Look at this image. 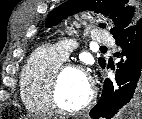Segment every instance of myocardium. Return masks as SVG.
<instances>
[{"instance_id":"f54148a6","label":"myocardium","mask_w":142,"mask_h":119,"mask_svg":"<svg viewBox=\"0 0 142 119\" xmlns=\"http://www.w3.org/2000/svg\"><path fill=\"white\" fill-rule=\"evenodd\" d=\"M68 70H76V71L85 73L84 69L78 65H75L73 63H62L58 67V69L55 71V73L53 74L50 80L49 87H48V100H49L51 109L54 112L58 114H62V115H77L84 112L89 107H91L96 97V91L93 85L90 84L89 96L83 104L73 109L64 108L59 102L58 91H59L62 77L65 74V72Z\"/></svg>"}]
</instances>
